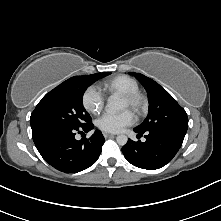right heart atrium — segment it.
<instances>
[{
  "instance_id": "d8ad5b80",
  "label": "right heart atrium",
  "mask_w": 221,
  "mask_h": 221,
  "mask_svg": "<svg viewBox=\"0 0 221 221\" xmlns=\"http://www.w3.org/2000/svg\"><path fill=\"white\" fill-rule=\"evenodd\" d=\"M104 103V95L96 86H89L85 89L82 95V104L88 112L99 113L103 109Z\"/></svg>"
}]
</instances>
